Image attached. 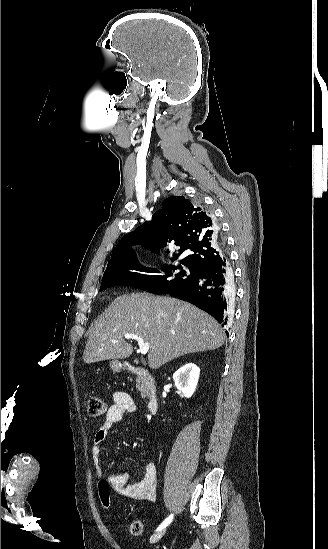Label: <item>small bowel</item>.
I'll return each mask as SVG.
<instances>
[{"instance_id":"c3829d8e","label":"small bowel","mask_w":328,"mask_h":549,"mask_svg":"<svg viewBox=\"0 0 328 549\" xmlns=\"http://www.w3.org/2000/svg\"><path fill=\"white\" fill-rule=\"evenodd\" d=\"M136 404L132 397L123 391L113 393V404L109 407L104 417L103 424L95 433L91 455L98 476H102L101 467L102 443L106 439L112 427L120 422L125 415L136 411ZM130 472L114 473L108 476L107 482L112 489L127 498L137 501L153 502L156 497L157 474L154 463L147 461L141 477L131 483Z\"/></svg>"}]
</instances>
